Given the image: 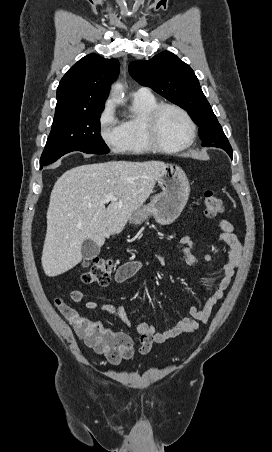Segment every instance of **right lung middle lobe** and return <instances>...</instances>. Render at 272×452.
Returning a JSON list of instances; mask_svg holds the SVG:
<instances>
[{
  "label": "right lung middle lobe",
  "instance_id": "1",
  "mask_svg": "<svg viewBox=\"0 0 272 452\" xmlns=\"http://www.w3.org/2000/svg\"><path fill=\"white\" fill-rule=\"evenodd\" d=\"M103 109L55 116L40 166L51 164L72 151L107 154L109 148L100 135L99 120Z\"/></svg>",
  "mask_w": 272,
  "mask_h": 452
}]
</instances>
